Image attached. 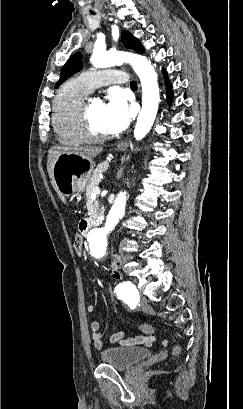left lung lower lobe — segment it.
Returning a JSON list of instances; mask_svg holds the SVG:
<instances>
[{
	"label": "left lung lower lobe",
	"instance_id": "obj_1",
	"mask_svg": "<svg viewBox=\"0 0 243 409\" xmlns=\"http://www.w3.org/2000/svg\"><path fill=\"white\" fill-rule=\"evenodd\" d=\"M164 74H165V77H166L167 75H166L165 71H164ZM165 84H166V90H167V97H168V100L170 102L171 98H172V90H171L172 87H171V84L169 83L168 80L165 81Z\"/></svg>",
	"mask_w": 243,
	"mask_h": 409
}]
</instances>
